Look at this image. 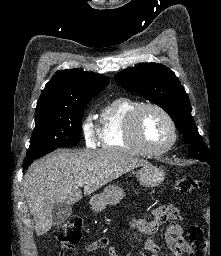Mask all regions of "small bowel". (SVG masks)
<instances>
[{
    "label": "small bowel",
    "instance_id": "1",
    "mask_svg": "<svg viewBox=\"0 0 221 256\" xmlns=\"http://www.w3.org/2000/svg\"><path fill=\"white\" fill-rule=\"evenodd\" d=\"M180 219L178 209L173 205H162L153 209L150 219H134L131 226L147 236L144 242V249L156 256L159 251V245L151 238L167 220H171L165 232V241L174 256H182L189 249L188 242L182 237V227L177 222ZM86 252H96L108 249V256H118L117 250L110 244L106 237H100L88 243L84 247Z\"/></svg>",
    "mask_w": 221,
    "mask_h": 256
}]
</instances>
